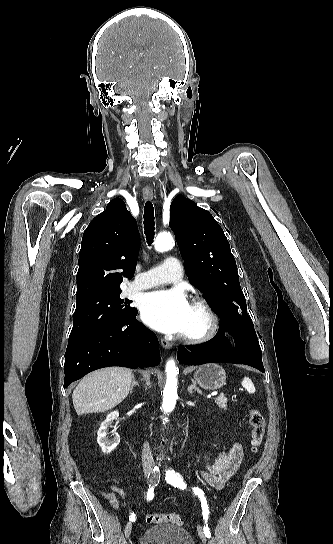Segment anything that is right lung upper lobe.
<instances>
[{
	"mask_svg": "<svg viewBox=\"0 0 333 544\" xmlns=\"http://www.w3.org/2000/svg\"><path fill=\"white\" fill-rule=\"evenodd\" d=\"M139 242L136 220L123 200L113 199L83 234L76 299L120 290L123 277H133Z\"/></svg>",
	"mask_w": 333,
	"mask_h": 544,
	"instance_id": "right-lung-upper-lobe-1",
	"label": "right lung upper lobe"
}]
</instances>
